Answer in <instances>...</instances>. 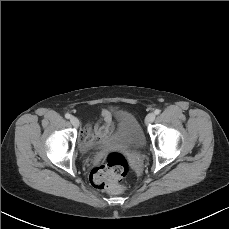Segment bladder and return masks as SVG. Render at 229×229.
<instances>
[{"label":"bladder","instance_id":"31cf9c89","mask_svg":"<svg viewBox=\"0 0 229 229\" xmlns=\"http://www.w3.org/2000/svg\"><path fill=\"white\" fill-rule=\"evenodd\" d=\"M109 142L126 147H143L146 137L137 118L129 112H122L118 118L117 130L113 138L90 140L84 147L87 151H92L95 147Z\"/></svg>","mask_w":229,"mask_h":229}]
</instances>
